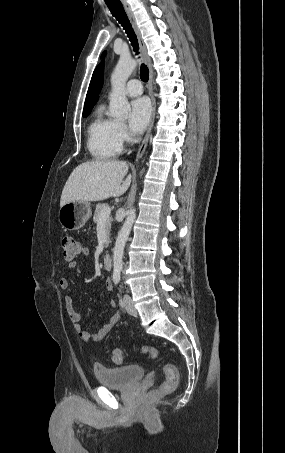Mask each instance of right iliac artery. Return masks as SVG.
<instances>
[{
    "mask_svg": "<svg viewBox=\"0 0 285 453\" xmlns=\"http://www.w3.org/2000/svg\"><path fill=\"white\" fill-rule=\"evenodd\" d=\"M113 281L115 284H118L120 282V273L119 272H115L113 274Z\"/></svg>",
    "mask_w": 285,
    "mask_h": 453,
    "instance_id": "right-iliac-artery-1",
    "label": "right iliac artery"
}]
</instances>
